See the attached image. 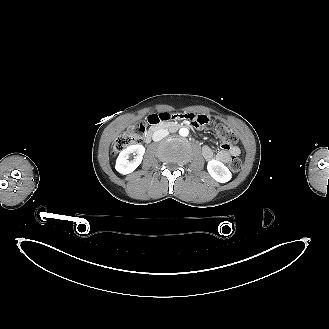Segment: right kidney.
Masks as SVG:
<instances>
[{"label":"right kidney","instance_id":"right-kidney-1","mask_svg":"<svg viewBox=\"0 0 329 329\" xmlns=\"http://www.w3.org/2000/svg\"><path fill=\"white\" fill-rule=\"evenodd\" d=\"M145 147L140 144L130 145L122 150L116 160L115 169L121 174H129L133 172L142 162ZM133 154L134 159L129 160V156Z\"/></svg>","mask_w":329,"mask_h":329}]
</instances>
